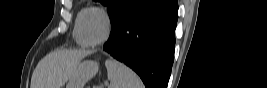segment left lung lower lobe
I'll list each match as a JSON object with an SVG mask.
<instances>
[{
  "mask_svg": "<svg viewBox=\"0 0 267 88\" xmlns=\"http://www.w3.org/2000/svg\"><path fill=\"white\" fill-rule=\"evenodd\" d=\"M177 18L176 0H131L103 49L137 72L147 88H167Z\"/></svg>",
  "mask_w": 267,
  "mask_h": 88,
  "instance_id": "1",
  "label": "left lung lower lobe"
}]
</instances>
